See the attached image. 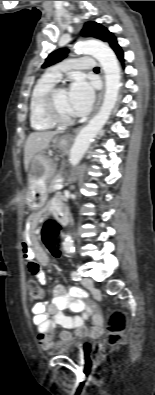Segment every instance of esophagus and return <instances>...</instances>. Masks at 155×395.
<instances>
[{"label":"esophagus","mask_w":155,"mask_h":395,"mask_svg":"<svg viewBox=\"0 0 155 395\" xmlns=\"http://www.w3.org/2000/svg\"><path fill=\"white\" fill-rule=\"evenodd\" d=\"M103 94H104V87H103V89L101 90V92L99 93V95L97 97L94 113L97 111V109L99 108V106L101 104V101H102V98H103ZM72 137H73L72 135H67L65 138L66 139H72Z\"/></svg>","instance_id":"esophagus-1"}]
</instances>
